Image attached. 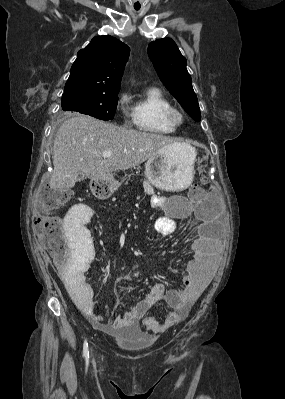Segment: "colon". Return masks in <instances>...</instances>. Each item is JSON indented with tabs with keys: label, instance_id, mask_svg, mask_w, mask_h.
I'll use <instances>...</instances> for the list:
<instances>
[{
	"label": "colon",
	"instance_id": "obj_1",
	"mask_svg": "<svg viewBox=\"0 0 285 399\" xmlns=\"http://www.w3.org/2000/svg\"><path fill=\"white\" fill-rule=\"evenodd\" d=\"M188 195L191 200H200L205 196V190L202 186L195 184L189 188ZM68 196V192L60 193L57 190H44L41 196L40 208L45 212H41L36 216L32 228L42 247L52 256L57 266L64 271L70 267L68 239L64 231L63 222L51 210L58 207ZM72 251L79 255V245L74 246ZM92 252L93 245L90 242L88 258L91 257ZM170 317L174 321L178 319L175 314H171ZM158 323L159 320L153 316H145L143 318V324L148 329L153 328Z\"/></svg>",
	"mask_w": 285,
	"mask_h": 399
}]
</instances>
